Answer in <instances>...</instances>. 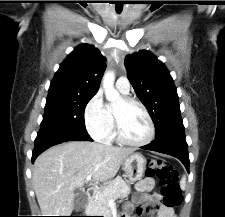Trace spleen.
<instances>
[{"label": "spleen", "instance_id": "spleen-1", "mask_svg": "<svg viewBox=\"0 0 225 217\" xmlns=\"http://www.w3.org/2000/svg\"><path fill=\"white\" fill-rule=\"evenodd\" d=\"M180 187L182 189H185V187H186V177L185 176H183L181 181H180Z\"/></svg>", "mask_w": 225, "mask_h": 217}]
</instances>
